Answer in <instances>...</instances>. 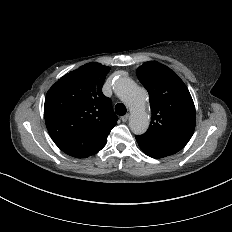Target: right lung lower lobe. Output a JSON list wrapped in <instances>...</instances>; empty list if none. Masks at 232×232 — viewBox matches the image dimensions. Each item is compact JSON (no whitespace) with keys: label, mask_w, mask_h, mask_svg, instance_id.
Returning <instances> with one entry per match:
<instances>
[{"label":"right lung lower lobe","mask_w":232,"mask_h":232,"mask_svg":"<svg viewBox=\"0 0 232 232\" xmlns=\"http://www.w3.org/2000/svg\"><path fill=\"white\" fill-rule=\"evenodd\" d=\"M93 155V154H92ZM88 156H91V155H82V156H73V157H77V158H86Z\"/></svg>","instance_id":"right-lung-lower-lobe-1"}]
</instances>
